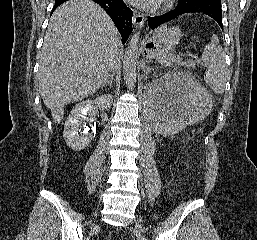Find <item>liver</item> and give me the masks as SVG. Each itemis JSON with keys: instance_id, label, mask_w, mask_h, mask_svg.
<instances>
[{"instance_id": "obj_1", "label": "liver", "mask_w": 257, "mask_h": 240, "mask_svg": "<svg viewBox=\"0 0 257 240\" xmlns=\"http://www.w3.org/2000/svg\"><path fill=\"white\" fill-rule=\"evenodd\" d=\"M119 33L107 13L91 0H69L50 19L40 54L39 91L55 119L65 105L96 92L107 81Z\"/></svg>"}]
</instances>
